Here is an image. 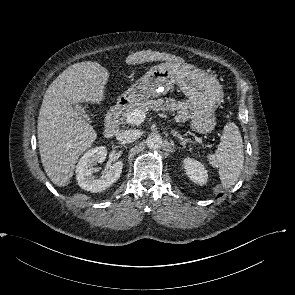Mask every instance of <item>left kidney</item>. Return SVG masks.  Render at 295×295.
<instances>
[{
	"label": "left kidney",
	"instance_id": "1",
	"mask_svg": "<svg viewBox=\"0 0 295 295\" xmlns=\"http://www.w3.org/2000/svg\"><path fill=\"white\" fill-rule=\"evenodd\" d=\"M183 164L186 174L190 180L199 185H204L207 183L208 173L201 162L187 157L183 160Z\"/></svg>",
	"mask_w": 295,
	"mask_h": 295
}]
</instances>
